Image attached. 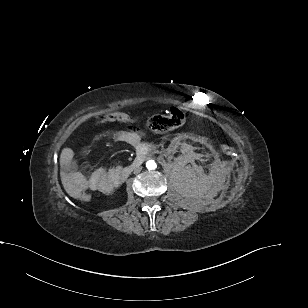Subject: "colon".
I'll return each mask as SVG.
<instances>
[{
	"label": "colon",
	"mask_w": 308,
	"mask_h": 308,
	"mask_svg": "<svg viewBox=\"0 0 308 308\" xmlns=\"http://www.w3.org/2000/svg\"><path fill=\"white\" fill-rule=\"evenodd\" d=\"M100 122H111V121H119V122H132L135 119L131 117L129 114L124 112H114L110 114L103 115L99 118ZM185 115L178 108H171L165 113L155 114L148 117L145 121V125L152 131L161 133L166 132L175 128L180 127L184 124ZM222 151L226 155H234L235 150L230 145H222ZM76 199L82 202H89L91 200V194L88 191H83L77 194Z\"/></svg>",
	"instance_id": "colon-1"
}]
</instances>
